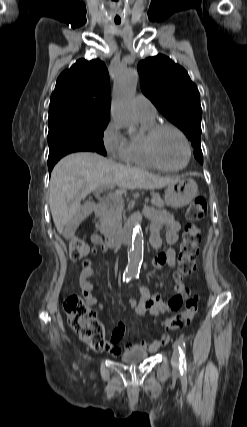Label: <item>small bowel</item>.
Returning a JSON list of instances; mask_svg holds the SVG:
<instances>
[{
  "label": "small bowel",
  "mask_w": 247,
  "mask_h": 427,
  "mask_svg": "<svg viewBox=\"0 0 247 427\" xmlns=\"http://www.w3.org/2000/svg\"><path fill=\"white\" fill-rule=\"evenodd\" d=\"M149 216L152 218L150 226V243L153 248L159 249L162 246L163 240L160 232L165 231V242L168 245H173L178 241L179 231L181 225L179 221L168 211H148ZM91 241L94 245H102V238L94 234L91 237ZM176 264V254L172 248H167L164 252L157 255L153 262V268L160 270L164 265H168L173 268ZM94 274L92 263L89 260H85L82 263V271L79 277V285L82 290L83 297L89 306H98L102 308V304L99 302L97 297L93 294V283L89 280ZM141 297L131 300V306L135 314L143 316L146 313L155 319L159 314L169 312L171 310H177L184 299L189 296V291L185 284L178 282L174 287V296L166 301L160 295H151L146 287H139ZM125 334V325L123 322H119L116 328L113 330L110 339L108 340V347L106 351L111 355H118L121 352L119 343L122 341ZM169 336L164 334L158 338H154L151 342L141 340L137 344H130L128 348H141L148 352H156L159 348L167 344Z\"/></svg>",
  "instance_id": "c3829d8e"
}]
</instances>
